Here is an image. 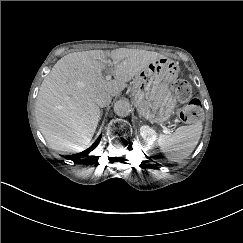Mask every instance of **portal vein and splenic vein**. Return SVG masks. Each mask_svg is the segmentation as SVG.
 <instances>
[{"label": "portal vein and splenic vein", "mask_w": 243, "mask_h": 243, "mask_svg": "<svg viewBox=\"0 0 243 243\" xmlns=\"http://www.w3.org/2000/svg\"><path fill=\"white\" fill-rule=\"evenodd\" d=\"M106 79L109 80V79H110V76H107ZM163 132H164L165 134H168V135H171V134H172V131L169 130V129H167V128H164V129H163Z\"/></svg>", "instance_id": "portal-vein-and-splenic-vein-1"}]
</instances>
